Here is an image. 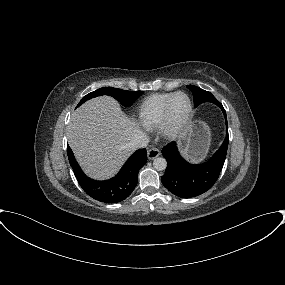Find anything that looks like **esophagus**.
Returning <instances> with one entry per match:
<instances>
[{
	"label": "esophagus",
	"instance_id": "34e87169",
	"mask_svg": "<svg viewBox=\"0 0 285 285\" xmlns=\"http://www.w3.org/2000/svg\"><path fill=\"white\" fill-rule=\"evenodd\" d=\"M160 155V151L157 147H152L147 151V157L149 160H153Z\"/></svg>",
	"mask_w": 285,
	"mask_h": 285
}]
</instances>
